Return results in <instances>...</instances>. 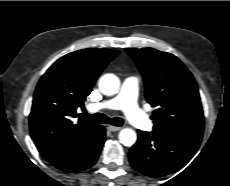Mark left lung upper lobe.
<instances>
[{
    "label": "left lung upper lobe",
    "mask_w": 230,
    "mask_h": 186,
    "mask_svg": "<svg viewBox=\"0 0 230 186\" xmlns=\"http://www.w3.org/2000/svg\"><path fill=\"white\" fill-rule=\"evenodd\" d=\"M137 64L145 83L146 100L153 111V131L201 142L204 115L197 84L174 55L153 48L125 49Z\"/></svg>",
    "instance_id": "5c2ea615"
}]
</instances>
